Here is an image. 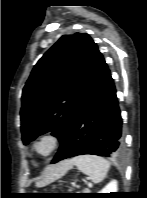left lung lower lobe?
Returning <instances> with one entry per match:
<instances>
[{"mask_svg": "<svg viewBox=\"0 0 147 198\" xmlns=\"http://www.w3.org/2000/svg\"><path fill=\"white\" fill-rule=\"evenodd\" d=\"M52 164L74 156H118L123 151L122 119L116 89L100 52L90 84Z\"/></svg>", "mask_w": 147, "mask_h": 198, "instance_id": "0a47b994", "label": "left lung lower lobe"}]
</instances>
